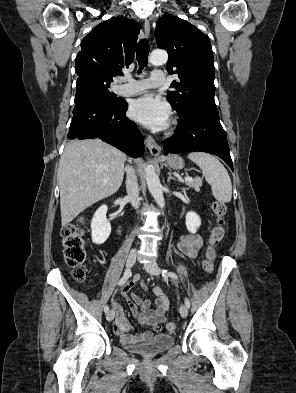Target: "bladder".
Returning a JSON list of instances; mask_svg holds the SVG:
<instances>
[{"label":"bladder","instance_id":"1","mask_svg":"<svg viewBox=\"0 0 296 393\" xmlns=\"http://www.w3.org/2000/svg\"><path fill=\"white\" fill-rule=\"evenodd\" d=\"M174 342L173 335L157 334L145 343L125 344L124 348L141 356L149 357L164 353L174 345Z\"/></svg>","mask_w":296,"mask_h":393}]
</instances>
